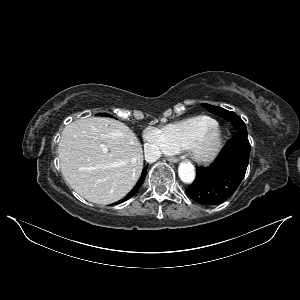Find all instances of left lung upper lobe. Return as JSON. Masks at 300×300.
<instances>
[{"label":"left lung upper lobe","mask_w":300,"mask_h":300,"mask_svg":"<svg viewBox=\"0 0 300 300\" xmlns=\"http://www.w3.org/2000/svg\"><path fill=\"white\" fill-rule=\"evenodd\" d=\"M202 105H203V107L208 109L210 112H212V113L218 115L219 117L224 118L227 121H229L238 130L237 134H242L244 136H247V129H246L245 123L234 112L228 111V110L223 109L221 107L209 105V104H202Z\"/></svg>","instance_id":"left-lung-upper-lobe-1"}]
</instances>
